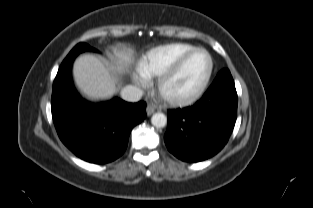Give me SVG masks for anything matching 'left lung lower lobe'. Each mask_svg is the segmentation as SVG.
<instances>
[{
    "mask_svg": "<svg viewBox=\"0 0 313 208\" xmlns=\"http://www.w3.org/2000/svg\"><path fill=\"white\" fill-rule=\"evenodd\" d=\"M164 139L168 150L185 162L206 160L227 143L237 117L234 81L217 76L193 106L168 110Z\"/></svg>",
    "mask_w": 313,
    "mask_h": 208,
    "instance_id": "obj_1",
    "label": "left lung lower lobe"
}]
</instances>
